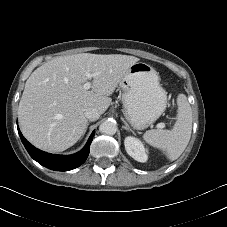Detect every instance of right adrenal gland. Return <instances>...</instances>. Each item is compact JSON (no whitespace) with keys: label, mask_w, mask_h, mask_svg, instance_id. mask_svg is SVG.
<instances>
[{"label":"right adrenal gland","mask_w":227,"mask_h":227,"mask_svg":"<svg viewBox=\"0 0 227 227\" xmlns=\"http://www.w3.org/2000/svg\"><path fill=\"white\" fill-rule=\"evenodd\" d=\"M88 125H89V123L86 125L83 135L85 134V132H86V130H87V127H88Z\"/></svg>","instance_id":"2a0ac1e0"}]
</instances>
